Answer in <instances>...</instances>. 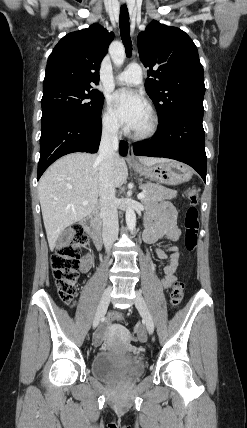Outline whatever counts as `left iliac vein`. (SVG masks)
<instances>
[{"label":"left iliac vein","instance_id":"left-iliac-vein-1","mask_svg":"<svg viewBox=\"0 0 247 428\" xmlns=\"http://www.w3.org/2000/svg\"><path fill=\"white\" fill-rule=\"evenodd\" d=\"M135 306L138 309V311L141 313L149 334H152L154 331L153 319H152V316L149 312L147 304H146L142 294L139 291H136Z\"/></svg>","mask_w":247,"mask_h":428}]
</instances>
